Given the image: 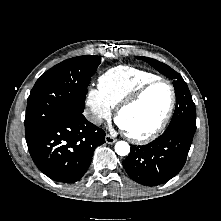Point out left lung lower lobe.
<instances>
[{
	"label": "left lung lower lobe",
	"mask_w": 221,
	"mask_h": 221,
	"mask_svg": "<svg viewBox=\"0 0 221 221\" xmlns=\"http://www.w3.org/2000/svg\"><path fill=\"white\" fill-rule=\"evenodd\" d=\"M195 131L178 128L165 130L151 143L131 145L122 162L128 175L136 182L156 186L176 176L184 166Z\"/></svg>",
	"instance_id": "obj_1"
}]
</instances>
